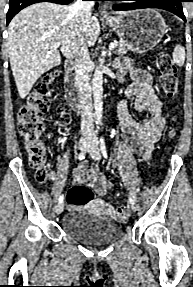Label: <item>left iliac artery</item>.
<instances>
[{
  "label": "left iliac artery",
  "mask_w": 193,
  "mask_h": 287,
  "mask_svg": "<svg viewBox=\"0 0 193 287\" xmlns=\"http://www.w3.org/2000/svg\"><path fill=\"white\" fill-rule=\"evenodd\" d=\"M99 145H100V150H101L104 158L108 159V153H107V149H106V145H105L103 137L100 138ZM120 176L122 177V181L124 182L125 179L123 177L122 172H120ZM128 201H129V203L134 204V200L130 196H128Z\"/></svg>",
  "instance_id": "44dca946"
}]
</instances>
